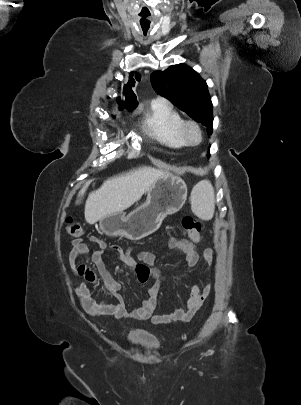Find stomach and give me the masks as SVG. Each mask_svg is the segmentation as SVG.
I'll list each match as a JSON object with an SVG mask.
<instances>
[{"instance_id":"1","label":"stomach","mask_w":301,"mask_h":405,"mask_svg":"<svg viewBox=\"0 0 301 405\" xmlns=\"http://www.w3.org/2000/svg\"><path fill=\"white\" fill-rule=\"evenodd\" d=\"M186 198L184 180L165 174L151 185L143 205L128 215L123 212L108 215L100 220V226L107 234L140 240L155 232L167 215L178 212Z\"/></svg>"}]
</instances>
